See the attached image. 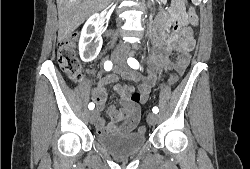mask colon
<instances>
[{
	"instance_id": "obj_1",
	"label": "colon",
	"mask_w": 250,
	"mask_h": 169,
	"mask_svg": "<svg viewBox=\"0 0 250 169\" xmlns=\"http://www.w3.org/2000/svg\"><path fill=\"white\" fill-rule=\"evenodd\" d=\"M182 4H187V0H182ZM193 15V11L190 12ZM76 34H69V38H61L57 42V59L61 70L73 82L78 83L83 78L82 65L76 55ZM178 75L175 73L169 78L170 86H178ZM141 91H130L131 100H140ZM145 128H142L143 132Z\"/></svg>"
}]
</instances>
